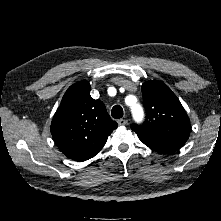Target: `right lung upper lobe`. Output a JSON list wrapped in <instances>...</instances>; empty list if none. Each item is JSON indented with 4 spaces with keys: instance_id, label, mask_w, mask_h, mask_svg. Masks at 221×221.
<instances>
[{
    "instance_id": "obj_1",
    "label": "right lung upper lobe",
    "mask_w": 221,
    "mask_h": 221,
    "mask_svg": "<svg viewBox=\"0 0 221 221\" xmlns=\"http://www.w3.org/2000/svg\"><path fill=\"white\" fill-rule=\"evenodd\" d=\"M117 126L104 103L91 98L89 82L81 81L63 96L51 123V134L68 158L85 161L102 149Z\"/></svg>"
}]
</instances>
